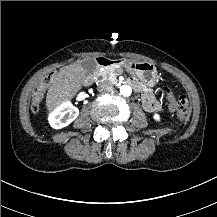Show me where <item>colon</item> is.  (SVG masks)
Listing matches in <instances>:
<instances>
[{
	"instance_id": "1",
	"label": "colon",
	"mask_w": 217,
	"mask_h": 217,
	"mask_svg": "<svg viewBox=\"0 0 217 217\" xmlns=\"http://www.w3.org/2000/svg\"><path fill=\"white\" fill-rule=\"evenodd\" d=\"M55 76L52 73H47L44 79L36 86V92L34 93L30 111L37 113L40 107V100L48 89L53 85ZM161 92L164 96L172 98L174 97V89L171 85L165 84L161 86ZM171 108L175 111L176 117L180 123H186L188 121L190 112V102L186 95H179L173 98Z\"/></svg>"
}]
</instances>
